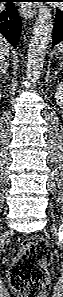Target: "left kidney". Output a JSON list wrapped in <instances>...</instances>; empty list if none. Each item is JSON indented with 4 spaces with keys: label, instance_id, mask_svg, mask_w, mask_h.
Returning a JSON list of instances; mask_svg holds the SVG:
<instances>
[{
    "label": "left kidney",
    "instance_id": "obj_1",
    "mask_svg": "<svg viewBox=\"0 0 63 297\" xmlns=\"http://www.w3.org/2000/svg\"><path fill=\"white\" fill-rule=\"evenodd\" d=\"M55 98L59 105H63V83L57 85Z\"/></svg>",
    "mask_w": 63,
    "mask_h": 297
}]
</instances>
